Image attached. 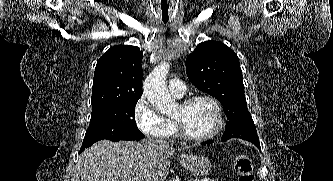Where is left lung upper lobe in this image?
I'll use <instances>...</instances> for the list:
<instances>
[{
  "label": "left lung upper lobe",
  "instance_id": "obj_1",
  "mask_svg": "<svg viewBox=\"0 0 333 181\" xmlns=\"http://www.w3.org/2000/svg\"><path fill=\"white\" fill-rule=\"evenodd\" d=\"M186 73L195 87L223 105L228 118L224 134L259 142L247 109L239 59L231 48L217 41L198 44L186 59Z\"/></svg>",
  "mask_w": 333,
  "mask_h": 181
}]
</instances>
